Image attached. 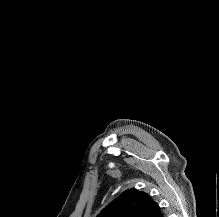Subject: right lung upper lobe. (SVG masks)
<instances>
[{
  "mask_svg": "<svg viewBox=\"0 0 219 217\" xmlns=\"http://www.w3.org/2000/svg\"><path fill=\"white\" fill-rule=\"evenodd\" d=\"M97 217H163L160 208L146 193L127 190L107 205Z\"/></svg>",
  "mask_w": 219,
  "mask_h": 217,
  "instance_id": "right-lung-upper-lobe-1",
  "label": "right lung upper lobe"
}]
</instances>
